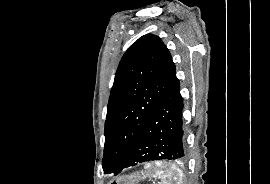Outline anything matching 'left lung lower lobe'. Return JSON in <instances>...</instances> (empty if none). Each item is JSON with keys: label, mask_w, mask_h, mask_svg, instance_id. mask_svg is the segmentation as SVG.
Here are the masks:
<instances>
[{"label": "left lung lower lobe", "mask_w": 270, "mask_h": 184, "mask_svg": "<svg viewBox=\"0 0 270 184\" xmlns=\"http://www.w3.org/2000/svg\"><path fill=\"white\" fill-rule=\"evenodd\" d=\"M186 158V131L183 121V98L180 82L174 78L157 105L152 116L134 142L123 166L155 160H177Z\"/></svg>", "instance_id": "left-lung-lower-lobe-1"}]
</instances>
